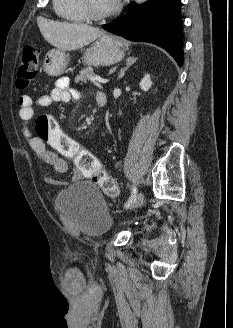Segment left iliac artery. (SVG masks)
<instances>
[{
	"label": "left iliac artery",
	"instance_id": "obj_1",
	"mask_svg": "<svg viewBox=\"0 0 233 328\" xmlns=\"http://www.w3.org/2000/svg\"><path fill=\"white\" fill-rule=\"evenodd\" d=\"M137 195V189L135 187L132 188V191H131V196L130 198L128 199V201L126 202L125 204V207H129L131 205V203L134 201L135 197Z\"/></svg>",
	"mask_w": 233,
	"mask_h": 328
}]
</instances>
